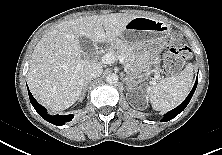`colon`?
<instances>
[{"mask_svg": "<svg viewBox=\"0 0 222 155\" xmlns=\"http://www.w3.org/2000/svg\"><path fill=\"white\" fill-rule=\"evenodd\" d=\"M191 56V50L185 39L181 36L173 37L169 42L168 51L164 56V70L169 74L179 72Z\"/></svg>", "mask_w": 222, "mask_h": 155, "instance_id": "colon-1", "label": "colon"}]
</instances>
